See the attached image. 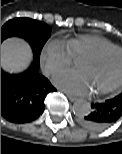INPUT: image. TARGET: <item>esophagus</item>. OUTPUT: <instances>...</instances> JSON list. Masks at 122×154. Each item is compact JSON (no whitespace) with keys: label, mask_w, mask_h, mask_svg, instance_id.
I'll list each match as a JSON object with an SVG mask.
<instances>
[{"label":"esophagus","mask_w":122,"mask_h":154,"mask_svg":"<svg viewBox=\"0 0 122 154\" xmlns=\"http://www.w3.org/2000/svg\"><path fill=\"white\" fill-rule=\"evenodd\" d=\"M65 94H66V96L68 97V99H69L71 102H74V101L78 100V98L75 97V96H73V95H70V94H68V93H65Z\"/></svg>","instance_id":"obj_1"}]
</instances>
